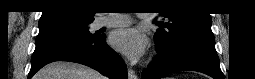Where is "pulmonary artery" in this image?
I'll return each instance as SVG.
<instances>
[{"mask_svg":"<svg viewBox=\"0 0 255 79\" xmlns=\"http://www.w3.org/2000/svg\"><path fill=\"white\" fill-rule=\"evenodd\" d=\"M148 14H138V17L144 18ZM131 22V18L125 14H113L107 17H99L96 20V26L101 27H111V26H125Z\"/></svg>","mask_w":255,"mask_h":79,"instance_id":"pulmonary-artery-1","label":"pulmonary artery"}]
</instances>
